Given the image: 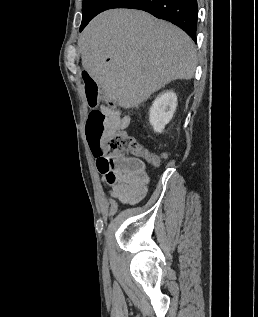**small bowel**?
Instances as JSON below:
<instances>
[{
    "mask_svg": "<svg viewBox=\"0 0 258 317\" xmlns=\"http://www.w3.org/2000/svg\"><path fill=\"white\" fill-rule=\"evenodd\" d=\"M108 115L112 131L124 130L131 123V116L121 110L102 107ZM96 166L109 195L120 204H133L141 200L148 189L145 163L134 157H112L94 153Z\"/></svg>",
    "mask_w": 258,
    "mask_h": 317,
    "instance_id": "small-bowel-1",
    "label": "small bowel"
}]
</instances>
